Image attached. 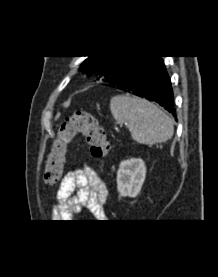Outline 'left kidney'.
<instances>
[{
	"instance_id": "5707ae66",
	"label": "left kidney",
	"mask_w": 218,
	"mask_h": 277,
	"mask_svg": "<svg viewBox=\"0 0 218 277\" xmlns=\"http://www.w3.org/2000/svg\"><path fill=\"white\" fill-rule=\"evenodd\" d=\"M146 177V166L142 159L132 158L120 163L117 171V190L120 196L136 197Z\"/></svg>"
}]
</instances>
